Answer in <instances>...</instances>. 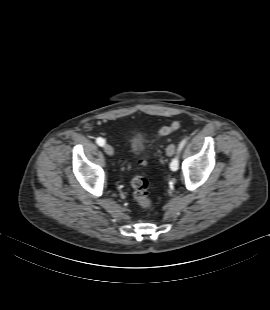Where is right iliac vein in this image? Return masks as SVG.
Masks as SVG:
<instances>
[{
    "instance_id": "obj_1",
    "label": "right iliac vein",
    "mask_w": 270,
    "mask_h": 310,
    "mask_svg": "<svg viewBox=\"0 0 270 310\" xmlns=\"http://www.w3.org/2000/svg\"><path fill=\"white\" fill-rule=\"evenodd\" d=\"M105 153L109 156H112L114 154V149L111 145L109 144H105L104 147H103Z\"/></svg>"
}]
</instances>
